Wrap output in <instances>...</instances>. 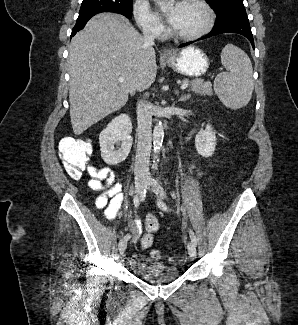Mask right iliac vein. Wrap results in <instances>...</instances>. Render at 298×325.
Wrapping results in <instances>:
<instances>
[{
  "label": "right iliac vein",
  "instance_id": "63e3f726",
  "mask_svg": "<svg viewBox=\"0 0 298 325\" xmlns=\"http://www.w3.org/2000/svg\"><path fill=\"white\" fill-rule=\"evenodd\" d=\"M145 186V177H138L135 180V197H138L142 194ZM120 255H123L127 248V241L122 238L118 245Z\"/></svg>",
  "mask_w": 298,
  "mask_h": 325
}]
</instances>
